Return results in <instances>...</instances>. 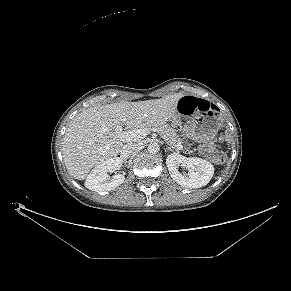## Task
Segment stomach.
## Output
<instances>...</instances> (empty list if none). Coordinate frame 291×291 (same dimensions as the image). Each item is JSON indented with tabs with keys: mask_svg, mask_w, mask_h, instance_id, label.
Segmentation results:
<instances>
[{
	"mask_svg": "<svg viewBox=\"0 0 291 291\" xmlns=\"http://www.w3.org/2000/svg\"><path fill=\"white\" fill-rule=\"evenodd\" d=\"M172 124L183 129L190 138L202 140L214 136L222 124L221 116L214 109L198 112L182 121L180 114H175Z\"/></svg>",
	"mask_w": 291,
	"mask_h": 291,
	"instance_id": "stomach-1",
	"label": "stomach"
}]
</instances>
